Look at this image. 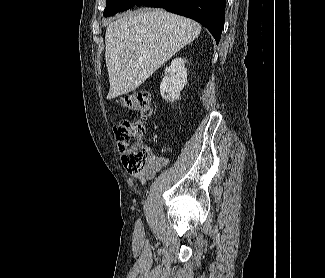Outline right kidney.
<instances>
[{"label": "right kidney", "instance_id": "right-kidney-1", "mask_svg": "<svg viewBox=\"0 0 325 278\" xmlns=\"http://www.w3.org/2000/svg\"><path fill=\"white\" fill-rule=\"evenodd\" d=\"M185 59L176 58L165 68V76L160 84V93L165 101L174 102L179 99L180 92L187 84Z\"/></svg>", "mask_w": 325, "mask_h": 278}]
</instances>
